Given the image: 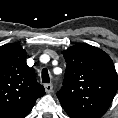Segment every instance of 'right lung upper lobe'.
<instances>
[{
	"mask_svg": "<svg viewBox=\"0 0 118 118\" xmlns=\"http://www.w3.org/2000/svg\"><path fill=\"white\" fill-rule=\"evenodd\" d=\"M43 95L25 50L15 43L0 46V118H24Z\"/></svg>",
	"mask_w": 118,
	"mask_h": 118,
	"instance_id": "right-lung-upper-lobe-1",
	"label": "right lung upper lobe"
}]
</instances>
